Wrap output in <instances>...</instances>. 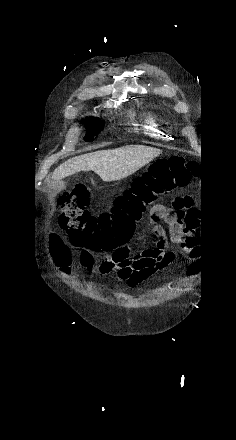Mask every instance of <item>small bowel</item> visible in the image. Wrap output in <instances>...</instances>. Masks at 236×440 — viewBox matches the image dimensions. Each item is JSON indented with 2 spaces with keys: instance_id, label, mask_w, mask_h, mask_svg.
<instances>
[{
  "instance_id": "1",
  "label": "small bowel",
  "mask_w": 236,
  "mask_h": 440,
  "mask_svg": "<svg viewBox=\"0 0 236 440\" xmlns=\"http://www.w3.org/2000/svg\"><path fill=\"white\" fill-rule=\"evenodd\" d=\"M194 200L190 195L176 196L172 206L157 204L151 209L150 229L157 237L153 248L133 252L128 245H121L111 252L102 250L103 261L96 273L109 275L116 273L121 282L135 287L156 272L163 271L175 264L178 253L169 250L170 244L176 245L182 251H187L195 257L194 246L196 234L193 225L188 226L186 219L191 216ZM58 260L66 266L70 252L62 244L57 246ZM80 264L87 272L92 271L95 263L94 253L88 248L79 251ZM198 272V264L193 263L187 268V275L193 277Z\"/></svg>"
}]
</instances>
